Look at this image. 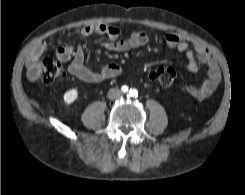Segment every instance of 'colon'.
Here are the masks:
<instances>
[{"label":"colon","instance_id":"1","mask_svg":"<svg viewBox=\"0 0 245 195\" xmlns=\"http://www.w3.org/2000/svg\"><path fill=\"white\" fill-rule=\"evenodd\" d=\"M65 75V64L48 56L43 60L42 81L46 84L53 83L54 81L62 78ZM177 75L174 67H161L156 69L150 74V79L158 86L166 87L171 85Z\"/></svg>","mask_w":245,"mask_h":195}]
</instances>
